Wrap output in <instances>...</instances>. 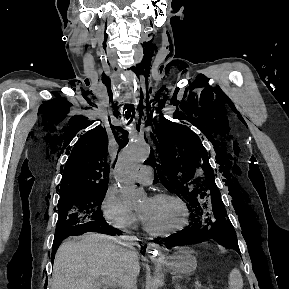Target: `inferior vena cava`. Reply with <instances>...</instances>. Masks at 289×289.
I'll use <instances>...</instances> for the list:
<instances>
[{
    "mask_svg": "<svg viewBox=\"0 0 289 289\" xmlns=\"http://www.w3.org/2000/svg\"><path fill=\"white\" fill-rule=\"evenodd\" d=\"M129 240V262L131 264H134L136 260L138 259V252L134 248V246L137 244L133 237H128ZM122 289H137L136 287V277L127 275L125 276L123 282H122Z\"/></svg>",
    "mask_w": 289,
    "mask_h": 289,
    "instance_id": "obj_1",
    "label": "inferior vena cava"
}]
</instances>
